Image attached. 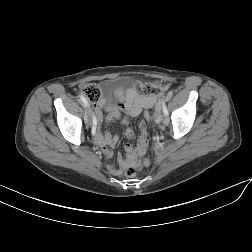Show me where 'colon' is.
<instances>
[{
    "label": "colon",
    "mask_w": 252,
    "mask_h": 252,
    "mask_svg": "<svg viewBox=\"0 0 252 252\" xmlns=\"http://www.w3.org/2000/svg\"><path fill=\"white\" fill-rule=\"evenodd\" d=\"M134 87L139 94L147 96L160 94L164 89V86L160 82H156L154 84H144L142 82L137 81ZM80 93L85 99L94 104L98 103L101 99L100 89L95 84H86L82 86L80 89ZM144 117L147 121H150L151 115L149 111L145 112ZM139 170V165H131L126 168L125 175L128 178H133L137 175Z\"/></svg>",
    "instance_id": "obj_1"
}]
</instances>
